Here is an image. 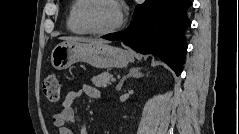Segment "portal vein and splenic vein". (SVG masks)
I'll use <instances>...</instances> for the list:
<instances>
[{
    "label": "portal vein and splenic vein",
    "mask_w": 239,
    "mask_h": 134,
    "mask_svg": "<svg viewBox=\"0 0 239 134\" xmlns=\"http://www.w3.org/2000/svg\"><path fill=\"white\" fill-rule=\"evenodd\" d=\"M111 81H112V82H115V81H116V79H115V78H111Z\"/></svg>",
    "instance_id": "portal-vein-and-splenic-vein-1"
}]
</instances>
